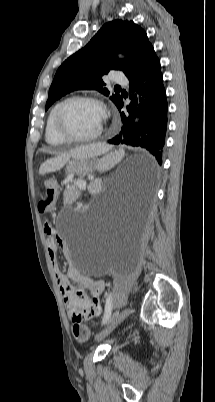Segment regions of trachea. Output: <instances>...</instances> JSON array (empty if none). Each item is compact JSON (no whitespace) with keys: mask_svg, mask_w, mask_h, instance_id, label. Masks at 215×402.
<instances>
[{"mask_svg":"<svg viewBox=\"0 0 215 402\" xmlns=\"http://www.w3.org/2000/svg\"><path fill=\"white\" fill-rule=\"evenodd\" d=\"M116 88H120V86H116Z\"/></svg>","mask_w":215,"mask_h":402,"instance_id":"3493384b","label":"trachea"}]
</instances>
